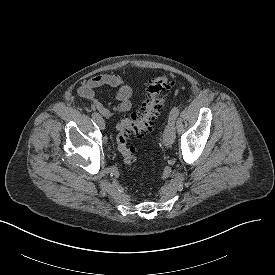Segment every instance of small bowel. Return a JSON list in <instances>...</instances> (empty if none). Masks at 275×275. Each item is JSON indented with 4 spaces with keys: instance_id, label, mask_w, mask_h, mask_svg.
Returning a JSON list of instances; mask_svg holds the SVG:
<instances>
[{
    "instance_id": "small-bowel-1",
    "label": "small bowel",
    "mask_w": 275,
    "mask_h": 275,
    "mask_svg": "<svg viewBox=\"0 0 275 275\" xmlns=\"http://www.w3.org/2000/svg\"><path fill=\"white\" fill-rule=\"evenodd\" d=\"M118 88L116 103L105 105L95 99V90ZM80 97L92 101V110L99 112L104 118L111 119L116 113H124L131 109L133 88L118 74H100L87 80L79 89Z\"/></svg>"
}]
</instances>
